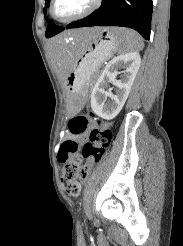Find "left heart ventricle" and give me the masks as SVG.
Here are the masks:
<instances>
[{
    "instance_id": "obj_1",
    "label": "left heart ventricle",
    "mask_w": 183,
    "mask_h": 246,
    "mask_svg": "<svg viewBox=\"0 0 183 246\" xmlns=\"http://www.w3.org/2000/svg\"><path fill=\"white\" fill-rule=\"evenodd\" d=\"M91 0H56L54 14L59 19L76 15L83 11Z\"/></svg>"
}]
</instances>
